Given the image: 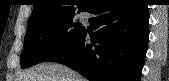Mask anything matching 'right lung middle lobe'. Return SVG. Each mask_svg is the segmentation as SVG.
I'll return each mask as SVG.
<instances>
[{"instance_id":"1","label":"right lung middle lobe","mask_w":169,"mask_h":81,"mask_svg":"<svg viewBox=\"0 0 169 81\" xmlns=\"http://www.w3.org/2000/svg\"><path fill=\"white\" fill-rule=\"evenodd\" d=\"M74 15L47 18L28 24L21 54V68L45 61L73 41L83 27L73 20Z\"/></svg>"}]
</instances>
